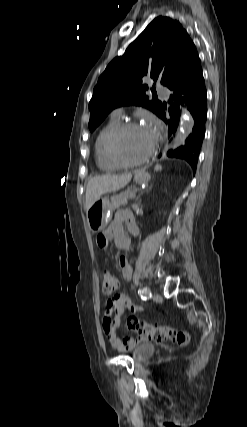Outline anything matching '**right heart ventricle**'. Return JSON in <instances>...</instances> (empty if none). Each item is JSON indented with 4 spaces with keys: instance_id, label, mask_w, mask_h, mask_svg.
Segmentation results:
<instances>
[{
    "instance_id": "right-heart-ventricle-1",
    "label": "right heart ventricle",
    "mask_w": 247,
    "mask_h": 427,
    "mask_svg": "<svg viewBox=\"0 0 247 427\" xmlns=\"http://www.w3.org/2000/svg\"><path fill=\"white\" fill-rule=\"evenodd\" d=\"M121 124L118 117H111V119L102 127L99 131L95 144H94V153L97 166L105 172L116 171L121 168L116 164L110 157L108 152V142L116 130V128Z\"/></svg>"
}]
</instances>
